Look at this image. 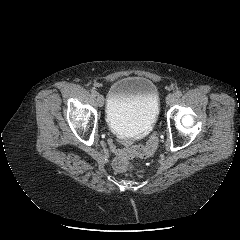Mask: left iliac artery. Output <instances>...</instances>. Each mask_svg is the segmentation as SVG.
<instances>
[{
  "mask_svg": "<svg viewBox=\"0 0 240 240\" xmlns=\"http://www.w3.org/2000/svg\"><path fill=\"white\" fill-rule=\"evenodd\" d=\"M175 95H176V97H181L182 96V92L178 90V91L175 92Z\"/></svg>",
  "mask_w": 240,
  "mask_h": 240,
  "instance_id": "44dca946",
  "label": "left iliac artery"
}]
</instances>
